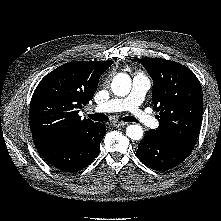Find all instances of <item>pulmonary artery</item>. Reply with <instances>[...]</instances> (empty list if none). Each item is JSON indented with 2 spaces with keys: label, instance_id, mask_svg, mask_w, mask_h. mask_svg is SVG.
Returning a JSON list of instances; mask_svg holds the SVG:
<instances>
[{
  "label": "pulmonary artery",
  "instance_id": "pulmonary-artery-1",
  "mask_svg": "<svg viewBox=\"0 0 221 221\" xmlns=\"http://www.w3.org/2000/svg\"><path fill=\"white\" fill-rule=\"evenodd\" d=\"M132 90L124 98H115L95 106L97 112L129 111L132 116L149 128H157L158 121L141 108L147 91L151 86L150 79L143 74H136L133 78Z\"/></svg>",
  "mask_w": 221,
  "mask_h": 221
}]
</instances>
